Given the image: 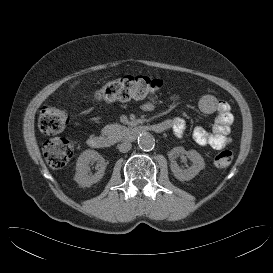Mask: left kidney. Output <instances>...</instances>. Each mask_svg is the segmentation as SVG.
<instances>
[{
  "label": "left kidney",
  "mask_w": 273,
  "mask_h": 273,
  "mask_svg": "<svg viewBox=\"0 0 273 273\" xmlns=\"http://www.w3.org/2000/svg\"><path fill=\"white\" fill-rule=\"evenodd\" d=\"M180 154H186V156L192 161V165L188 169H181L174 160V157ZM170 155L172 159L171 171L180 181L191 180L205 168L204 159L196 150L185 151L184 148L177 147L171 151Z\"/></svg>",
  "instance_id": "5707ae66"
}]
</instances>
